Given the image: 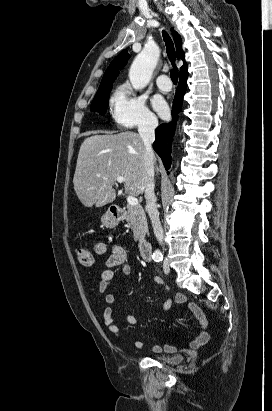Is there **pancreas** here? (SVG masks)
Returning <instances> with one entry per match:
<instances>
[{
    "mask_svg": "<svg viewBox=\"0 0 272 411\" xmlns=\"http://www.w3.org/2000/svg\"><path fill=\"white\" fill-rule=\"evenodd\" d=\"M124 220L129 224V227L133 231L135 241L143 239L148 232V224L144 209L142 206L127 207Z\"/></svg>",
    "mask_w": 272,
    "mask_h": 411,
    "instance_id": "obj_1",
    "label": "pancreas"
}]
</instances>
